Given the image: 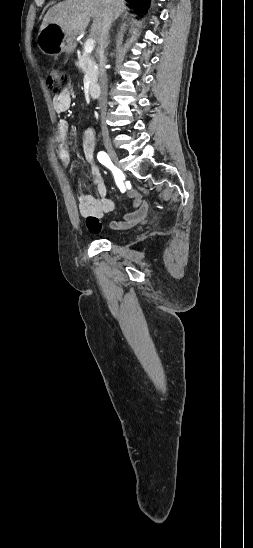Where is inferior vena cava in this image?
Returning a JSON list of instances; mask_svg holds the SVG:
<instances>
[{
	"label": "inferior vena cava",
	"instance_id": "inferior-vena-cava-1",
	"mask_svg": "<svg viewBox=\"0 0 253 548\" xmlns=\"http://www.w3.org/2000/svg\"><path fill=\"white\" fill-rule=\"evenodd\" d=\"M116 0H105V14L104 19L101 27V31L98 37V43H99V84L101 89V94L99 97V106L101 109V113L99 114L100 119V126L102 127V136L103 139L107 140L109 139V133L107 129V118H106V110H107V73H106V58L104 55V51L107 47V40H108V34L109 30L112 24V21L115 17L116 13Z\"/></svg>",
	"mask_w": 253,
	"mask_h": 548
}]
</instances>
